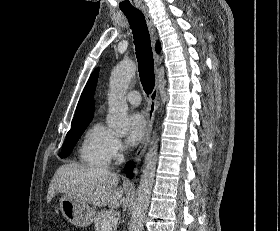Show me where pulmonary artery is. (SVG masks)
Returning a JSON list of instances; mask_svg holds the SVG:
<instances>
[{"label":"pulmonary artery","mask_w":280,"mask_h":231,"mask_svg":"<svg viewBox=\"0 0 280 231\" xmlns=\"http://www.w3.org/2000/svg\"><path fill=\"white\" fill-rule=\"evenodd\" d=\"M126 99L127 101L134 106H137L140 104L141 101V95L138 91H130L127 95H126Z\"/></svg>","instance_id":"e3ab8cb5"}]
</instances>
